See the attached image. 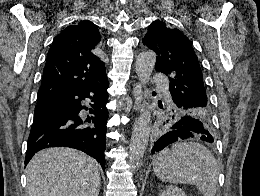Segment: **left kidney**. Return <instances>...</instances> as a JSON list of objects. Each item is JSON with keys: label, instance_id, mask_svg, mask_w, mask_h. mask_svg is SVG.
Instances as JSON below:
<instances>
[{"label": "left kidney", "instance_id": "obj_1", "mask_svg": "<svg viewBox=\"0 0 260 196\" xmlns=\"http://www.w3.org/2000/svg\"><path fill=\"white\" fill-rule=\"evenodd\" d=\"M161 196H186V194L177 186H167L165 192H161Z\"/></svg>", "mask_w": 260, "mask_h": 196}]
</instances>
